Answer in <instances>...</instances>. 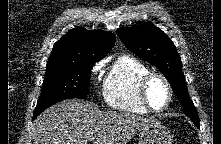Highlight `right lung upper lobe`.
<instances>
[{
    "mask_svg": "<svg viewBox=\"0 0 221 144\" xmlns=\"http://www.w3.org/2000/svg\"><path fill=\"white\" fill-rule=\"evenodd\" d=\"M115 41L111 32L74 28L54 44L47 63H96L111 50Z\"/></svg>",
    "mask_w": 221,
    "mask_h": 144,
    "instance_id": "obj_1",
    "label": "right lung upper lobe"
}]
</instances>
